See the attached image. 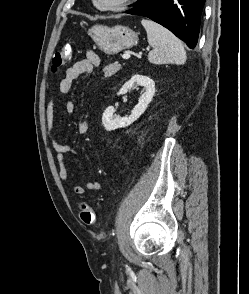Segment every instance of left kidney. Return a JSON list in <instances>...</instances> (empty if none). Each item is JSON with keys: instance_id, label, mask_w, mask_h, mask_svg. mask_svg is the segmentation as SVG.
Wrapping results in <instances>:
<instances>
[{"instance_id": "left-kidney-1", "label": "left kidney", "mask_w": 249, "mask_h": 294, "mask_svg": "<svg viewBox=\"0 0 249 294\" xmlns=\"http://www.w3.org/2000/svg\"><path fill=\"white\" fill-rule=\"evenodd\" d=\"M135 84L145 88L144 93L141 94L138 104L132 110L128 117L119 118L114 115L115 109L109 106L103 113L102 124L107 131H113L118 128H124L136 121L147 109L149 103L155 94V83L147 76L136 74L127 81L119 90L117 95H123L128 92Z\"/></svg>"}]
</instances>
